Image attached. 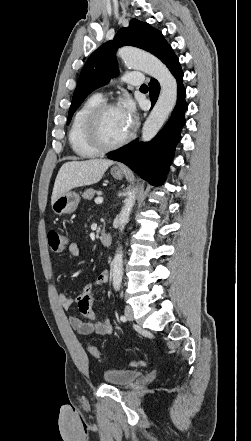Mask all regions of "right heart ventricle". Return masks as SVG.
Returning a JSON list of instances; mask_svg holds the SVG:
<instances>
[{
    "mask_svg": "<svg viewBox=\"0 0 251 441\" xmlns=\"http://www.w3.org/2000/svg\"><path fill=\"white\" fill-rule=\"evenodd\" d=\"M103 103L100 95L88 97L75 112L69 129L68 139L73 152L80 158H93L100 154L87 140L86 121L94 108Z\"/></svg>",
    "mask_w": 251,
    "mask_h": 441,
    "instance_id": "right-heart-ventricle-1",
    "label": "right heart ventricle"
}]
</instances>
